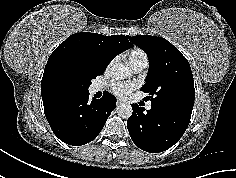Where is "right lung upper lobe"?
<instances>
[{"label": "right lung upper lobe", "mask_w": 236, "mask_h": 178, "mask_svg": "<svg viewBox=\"0 0 236 178\" xmlns=\"http://www.w3.org/2000/svg\"><path fill=\"white\" fill-rule=\"evenodd\" d=\"M131 47L128 36L124 35L104 36L81 32L69 36L53 51L47 61L41 81L42 99L54 97L49 91V81L62 63L74 58H83L106 69L116 55Z\"/></svg>", "instance_id": "right-lung-upper-lobe-1"}]
</instances>
